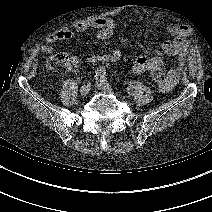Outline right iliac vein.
<instances>
[{"instance_id": "63e3f726", "label": "right iliac vein", "mask_w": 212, "mask_h": 212, "mask_svg": "<svg viewBox=\"0 0 212 212\" xmlns=\"http://www.w3.org/2000/svg\"><path fill=\"white\" fill-rule=\"evenodd\" d=\"M91 90V84L90 83H87V84H84L81 88H80V93L81 95L85 96L87 95Z\"/></svg>"}]
</instances>
